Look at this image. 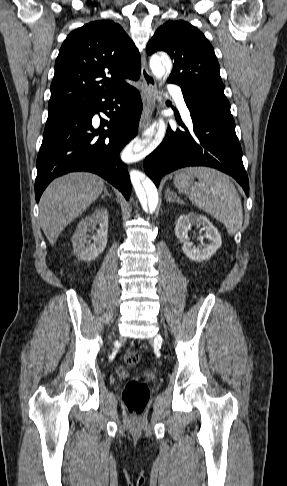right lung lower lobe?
I'll use <instances>...</instances> for the list:
<instances>
[{"label": "right lung lower lobe", "mask_w": 287, "mask_h": 486, "mask_svg": "<svg viewBox=\"0 0 287 486\" xmlns=\"http://www.w3.org/2000/svg\"><path fill=\"white\" fill-rule=\"evenodd\" d=\"M99 111L109 118L100 120L107 130L92 125ZM141 112L139 92L127 85L97 96L75 111L48 119L37 157L36 201L54 178L73 171L100 175L128 199L130 178L119 153L136 136Z\"/></svg>", "instance_id": "obj_1"}]
</instances>
